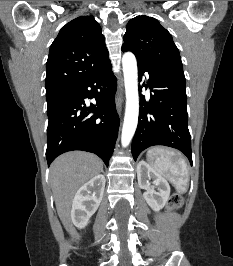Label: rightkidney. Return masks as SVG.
<instances>
[{
    "label": "right kidney",
    "instance_id": "right-kidney-1",
    "mask_svg": "<svg viewBox=\"0 0 233 266\" xmlns=\"http://www.w3.org/2000/svg\"><path fill=\"white\" fill-rule=\"evenodd\" d=\"M104 175H96L82 185L72 203L71 219L78 228H84L98 209L105 188Z\"/></svg>",
    "mask_w": 233,
    "mask_h": 266
}]
</instances>
